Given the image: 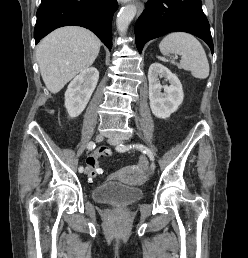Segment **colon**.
<instances>
[{
  "mask_svg": "<svg viewBox=\"0 0 248 258\" xmlns=\"http://www.w3.org/2000/svg\"><path fill=\"white\" fill-rule=\"evenodd\" d=\"M99 148L93 151V154L86 158V179H97L99 171H101V163H99L100 156L111 157L110 146L108 144H99Z\"/></svg>",
  "mask_w": 248,
  "mask_h": 258,
  "instance_id": "colon-1",
  "label": "colon"
}]
</instances>
